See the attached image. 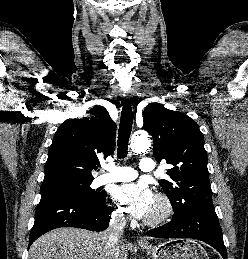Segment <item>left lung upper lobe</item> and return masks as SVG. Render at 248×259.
Listing matches in <instances>:
<instances>
[{
  "label": "left lung upper lobe",
  "mask_w": 248,
  "mask_h": 259,
  "mask_svg": "<svg viewBox=\"0 0 248 259\" xmlns=\"http://www.w3.org/2000/svg\"><path fill=\"white\" fill-rule=\"evenodd\" d=\"M143 121V129L154 139L156 161L166 160L174 166L167 171L171 179L159 181L174 215L214 209L204 138L196 122L155 103L145 108Z\"/></svg>",
  "instance_id": "1"
}]
</instances>
